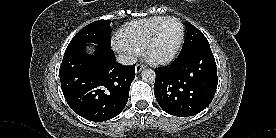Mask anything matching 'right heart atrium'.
Masks as SVG:
<instances>
[{
  "label": "right heart atrium",
  "instance_id": "1",
  "mask_svg": "<svg viewBox=\"0 0 276 138\" xmlns=\"http://www.w3.org/2000/svg\"><path fill=\"white\" fill-rule=\"evenodd\" d=\"M115 48L122 52L128 59H134L138 55V50L135 48L126 45L124 43H121L120 41L116 40L115 42Z\"/></svg>",
  "mask_w": 276,
  "mask_h": 138
}]
</instances>
